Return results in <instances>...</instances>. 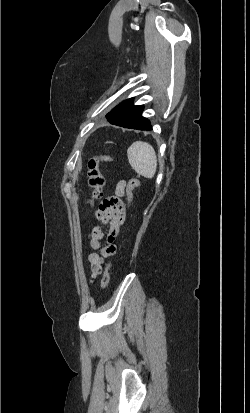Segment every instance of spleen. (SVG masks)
Listing matches in <instances>:
<instances>
[{
    "instance_id": "spleen-1",
    "label": "spleen",
    "mask_w": 250,
    "mask_h": 413,
    "mask_svg": "<svg viewBox=\"0 0 250 413\" xmlns=\"http://www.w3.org/2000/svg\"><path fill=\"white\" fill-rule=\"evenodd\" d=\"M128 161L135 172L145 178H152L157 169L154 148L147 142L135 141L127 149Z\"/></svg>"
}]
</instances>
